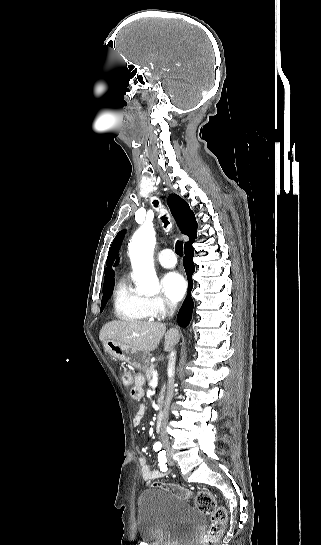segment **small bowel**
<instances>
[{
	"label": "small bowel",
	"instance_id": "obj_1",
	"mask_svg": "<svg viewBox=\"0 0 321 545\" xmlns=\"http://www.w3.org/2000/svg\"><path fill=\"white\" fill-rule=\"evenodd\" d=\"M143 395V390L140 386V384L137 382V384L132 388L131 390V396L135 400H139ZM146 413V407L143 404H140L137 412L133 418V425L139 426L143 420V417ZM139 464L141 467V472L143 475V478L146 482V484H152L155 480H158L165 476L168 471H162V470H152L151 467L148 464L147 458L145 455L141 454L139 455Z\"/></svg>",
	"mask_w": 321,
	"mask_h": 545
}]
</instances>
